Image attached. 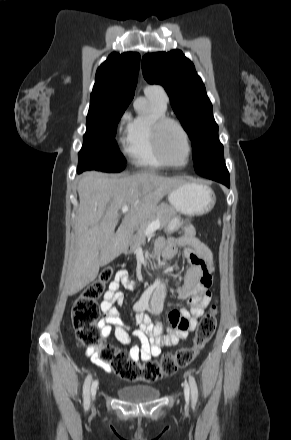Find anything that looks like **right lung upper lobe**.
<instances>
[{"label":"right lung upper lobe","instance_id":"cb5924a9","mask_svg":"<svg viewBox=\"0 0 291 440\" xmlns=\"http://www.w3.org/2000/svg\"><path fill=\"white\" fill-rule=\"evenodd\" d=\"M140 55L111 53L97 69L90 105H129L138 80Z\"/></svg>","mask_w":291,"mask_h":440}]
</instances>
